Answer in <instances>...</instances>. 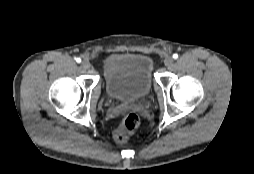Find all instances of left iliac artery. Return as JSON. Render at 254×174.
I'll return each instance as SVG.
<instances>
[{"label": "left iliac artery", "instance_id": "44dca946", "mask_svg": "<svg viewBox=\"0 0 254 174\" xmlns=\"http://www.w3.org/2000/svg\"><path fill=\"white\" fill-rule=\"evenodd\" d=\"M173 58H174V59H177V58H178V54H176V53L173 54Z\"/></svg>", "mask_w": 254, "mask_h": 174}]
</instances>
